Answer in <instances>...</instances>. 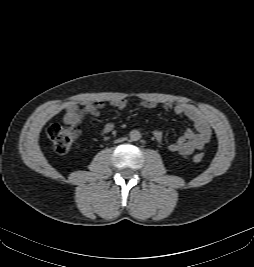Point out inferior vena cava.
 <instances>
[{"instance_id":"obj_1","label":"inferior vena cava","mask_w":254,"mask_h":267,"mask_svg":"<svg viewBox=\"0 0 254 267\" xmlns=\"http://www.w3.org/2000/svg\"><path fill=\"white\" fill-rule=\"evenodd\" d=\"M124 139L122 138V139H118V140H116V142H121V141H123Z\"/></svg>"}]
</instances>
